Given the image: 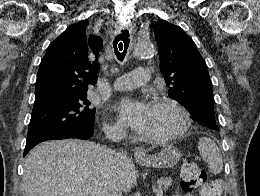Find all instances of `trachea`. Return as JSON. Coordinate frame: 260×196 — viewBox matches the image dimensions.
Masks as SVG:
<instances>
[{
	"mask_svg": "<svg viewBox=\"0 0 260 196\" xmlns=\"http://www.w3.org/2000/svg\"><path fill=\"white\" fill-rule=\"evenodd\" d=\"M130 40L128 30H122L113 40V48L118 60L123 61L128 50Z\"/></svg>",
	"mask_w": 260,
	"mask_h": 196,
	"instance_id": "3493384b",
	"label": "trachea"
}]
</instances>
